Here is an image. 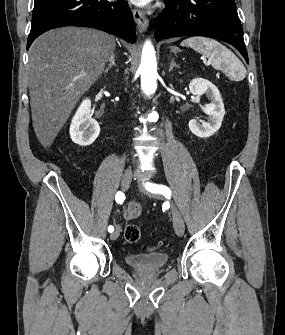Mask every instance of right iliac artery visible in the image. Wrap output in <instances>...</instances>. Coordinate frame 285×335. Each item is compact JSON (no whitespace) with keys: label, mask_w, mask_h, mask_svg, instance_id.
I'll use <instances>...</instances> for the list:
<instances>
[{"label":"right iliac artery","mask_w":285,"mask_h":335,"mask_svg":"<svg viewBox=\"0 0 285 335\" xmlns=\"http://www.w3.org/2000/svg\"><path fill=\"white\" fill-rule=\"evenodd\" d=\"M115 200H116V202H117L118 204H122V203L124 202V200H125V195H124V193H122L121 191H118V192L116 193ZM108 231H109L110 233H112V232L114 231V227L110 225V226L108 227Z\"/></svg>","instance_id":"right-iliac-artery-1"}]
</instances>
